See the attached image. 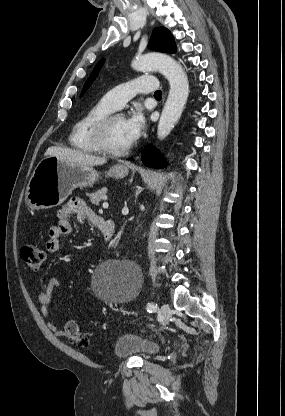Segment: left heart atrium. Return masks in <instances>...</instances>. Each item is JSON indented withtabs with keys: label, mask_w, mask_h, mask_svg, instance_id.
Returning <instances> with one entry per match:
<instances>
[{
	"label": "left heart atrium",
	"mask_w": 285,
	"mask_h": 416,
	"mask_svg": "<svg viewBox=\"0 0 285 416\" xmlns=\"http://www.w3.org/2000/svg\"><path fill=\"white\" fill-rule=\"evenodd\" d=\"M124 120V133L129 144L135 142L140 135L145 125V120L139 110H134Z\"/></svg>",
	"instance_id": "obj_1"
}]
</instances>
